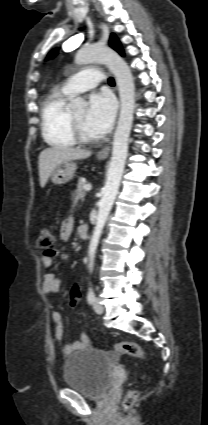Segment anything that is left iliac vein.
<instances>
[{
  "label": "left iliac vein",
  "instance_id": "left-iliac-vein-1",
  "mask_svg": "<svg viewBox=\"0 0 208 425\" xmlns=\"http://www.w3.org/2000/svg\"><path fill=\"white\" fill-rule=\"evenodd\" d=\"M93 309L97 314H102L104 311V307L100 303L99 298H95L93 302Z\"/></svg>",
  "mask_w": 208,
  "mask_h": 425
}]
</instances>
